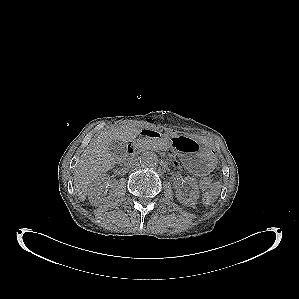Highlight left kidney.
I'll list each match as a JSON object with an SVG mask.
<instances>
[{
    "mask_svg": "<svg viewBox=\"0 0 299 299\" xmlns=\"http://www.w3.org/2000/svg\"><path fill=\"white\" fill-rule=\"evenodd\" d=\"M184 182L191 186L189 197H184L181 189H177L176 197L178 201L186 206H193L199 198V187L196 180L190 176L185 177Z\"/></svg>",
    "mask_w": 299,
    "mask_h": 299,
    "instance_id": "obj_1",
    "label": "left kidney"
}]
</instances>
